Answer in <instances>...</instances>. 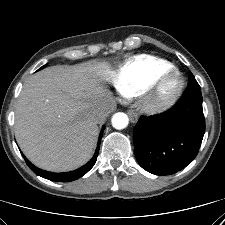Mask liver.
Instances as JSON below:
<instances>
[{"instance_id":"liver-1","label":"liver","mask_w":225,"mask_h":225,"mask_svg":"<svg viewBox=\"0 0 225 225\" xmlns=\"http://www.w3.org/2000/svg\"><path fill=\"white\" fill-rule=\"evenodd\" d=\"M107 62L51 66L24 84L15 111V136L37 167L65 172L85 164L98 135L95 113L108 101Z\"/></svg>"}]
</instances>
